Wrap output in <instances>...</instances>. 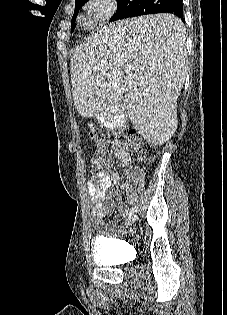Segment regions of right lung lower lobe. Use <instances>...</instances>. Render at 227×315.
I'll list each match as a JSON object with an SVG mask.
<instances>
[{
    "mask_svg": "<svg viewBox=\"0 0 227 315\" xmlns=\"http://www.w3.org/2000/svg\"><path fill=\"white\" fill-rule=\"evenodd\" d=\"M156 13H171L184 21L182 0H143L137 6L123 7L118 19Z\"/></svg>",
    "mask_w": 227,
    "mask_h": 315,
    "instance_id": "1",
    "label": "right lung lower lobe"
}]
</instances>
